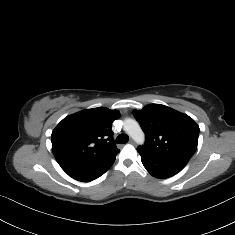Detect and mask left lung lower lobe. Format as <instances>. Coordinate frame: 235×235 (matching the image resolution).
<instances>
[{
  "mask_svg": "<svg viewBox=\"0 0 235 235\" xmlns=\"http://www.w3.org/2000/svg\"><path fill=\"white\" fill-rule=\"evenodd\" d=\"M139 154L141 155V161L144 167L153 177L156 178H169L180 172L186 166V164L181 162L151 156L144 152H139Z\"/></svg>",
  "mask_w": 235,
  "mask_h": 235,
  "instance_id": "0a47b994",
  "label": "left lung lower lobe"
}]
</instances>
